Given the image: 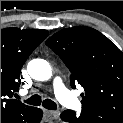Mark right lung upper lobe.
<instances>
[{"label": "right lung upper lobe", "instance_id": "obj_1", "mask_svg": "<svg viewBox=\"0 0 123 123\" xmlns=\"http://www.w3.org/2000/svg\"><path fill=\"white\" fill-rule=\"evenodd\" d=\"M48 34L47 30L41 29L1 30V122L30 108L13 96L19 91L21 67Z\"/></svg>", "mask_w": 123, "mask_h": 123}]
</instances>
